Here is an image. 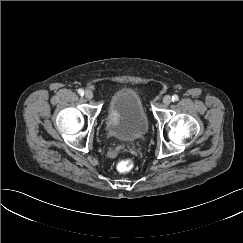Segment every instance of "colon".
Wrapping results in <instances>:
<instances>
[{
  "mask_svg": "<svg viewBox=\"0 0 243 243\" xmlns=\"http://www.w3.org/2000/svg\"><path fill=\"white\" fill-rule=\"evenodd\" d=\"M133 168V162L131 160L125 159L117 164V170L121 173H127Z\"/></svg>",
  "mask_w": 243,
  "mask_h": 243,
  "instance_id": "5ec220e1",
  "label": "colon"
}]
</instances>
